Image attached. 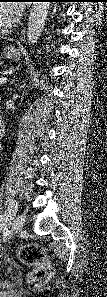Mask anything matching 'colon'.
Listing matches in <instances>:
<instances>
[{"label": "colon", "instance_id": "5ec220e1", "mask_svg": "<svg viewBox=\"0 0 107 297\" xmlns=\"http://www.w3.org/2000/svg\"><path fill=\"white\" fill-rule=\"evenodd\" d=\"M19 256L21 260L38 267L30 279V286H40L49 276V270L44 266L45 258L42 251L36 246L31 245L26 248H22L19 251Z\"/></svg>", "mask_w": 107, "mask_h": 297}]
</instances>
